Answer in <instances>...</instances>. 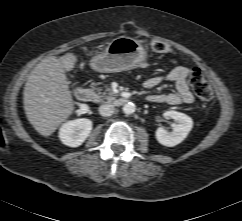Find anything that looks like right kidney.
<instances>
[{
  "mask_svg": "<svg viewBox=\"0 0 242 221\" xmlns=\"http://www.w3.org/2000/svg\"><path fill=\"white\" fill-rule=\"evenodd\" d=\"M92 130V121L86 118L64 123L59 130V138L63 144L70 147L80 146Z\"/></svg>",
  "mask_w": 242,
  "mask_h": 221,
  "instance_id": "right-kidney-1",
  "label": "right kidney"
}]
</instances>
